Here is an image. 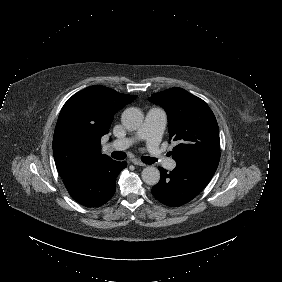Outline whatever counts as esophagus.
<instances>
[{"mask_svg": "<svg viewBox=\"0 0 282 282\" xmlns=\"http://www.w3.org/2000/svg\"><path fill=\"white\" fill-rule=\"evenodd\" d=\"M132 163H133L134 165H138V166H142V167L146 166L145 163H143L142 161H140V160H138V159H132Z\"/></svg>", "mask_w": 282, "mask_h": 282, "instance_id": "34e87169", "label": "esophagus"}]
</instances>
